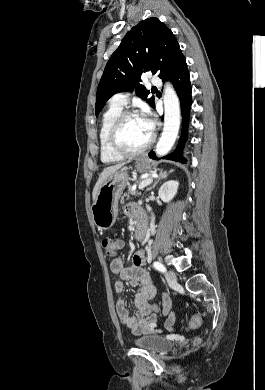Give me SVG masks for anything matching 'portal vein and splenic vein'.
I'll return each instance as SVG.
<instances>
[{
    "instance_id": "1",
    "label": "portal vein and splenic vein",
    "mask_w": 265,
    "mask_h": 390,
    "mask_svg": "<svg viewBox=\"0 0 265 390\" xmlns=\"http://www.w3.org/2000/svg\"><path fill=\"white\" fill-rule=\"evenodd\" d=\"M152 181H153V178H147V179L143 180V181L139 184L138 188H139V189H143V188H145L146 186H148L149 184H151Z\"/></svg>"
}]
</instances>
